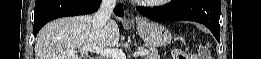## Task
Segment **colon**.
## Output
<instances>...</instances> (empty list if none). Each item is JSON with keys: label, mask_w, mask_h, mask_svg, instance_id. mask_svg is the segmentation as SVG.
Segmentation results:
<instances>
[{"label": "colon", "mask_w": 261, "mask_h": 59, "mask_svg": "<svg viewBox=\"0 0 261 59\" xmlns=\"http://www.w3.org/2000/svg\"><path fill=\"white\" fill-rule=\"evenodd\" d=\"M174 59H191L190 56L186 55L182 50H176L173 54ZM201 58H209L207 49L205 47L201 48Z\"/></svg>", "instance_id": "5ec220e1"}]
</instances>
